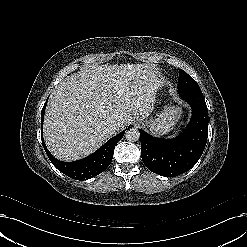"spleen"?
<instances>
[{"label":"spleen","mask_w":247,"mask_h":247,"mask_svg":"<svg viewBox=\"0 0 247 247\" xmlns=\"http://www.w3.org/2000/svg\"><path fill=\"white\" fill-rule=\"evenodd\" d=\"M177 135V133H175V134H173L172 136H170V137H175Z\"/></svg>","instance_id":"3e777b00"}]
</instances>
